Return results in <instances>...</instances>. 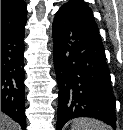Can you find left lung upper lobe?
Returning a JSON list of instances; mask_svg holds the SVG:
<instances>
[{
	"label": "left lung upper lobe",
	"mask_w": 123,
	"mask_h": 130,
	"mask_svg": "<svg viewBox=\"0 0 123 130\" xmlns=\"http://www.w3.org/2000/svg\"><path fill=\"white\" fill-rule=\"evenodd\" d=\"M61 8L66 9L81 26L99 33L91 8L82 0H70Z\"/></svg>",
	"instance_id": "5c2ea615"
}]
</instances>
